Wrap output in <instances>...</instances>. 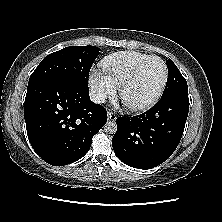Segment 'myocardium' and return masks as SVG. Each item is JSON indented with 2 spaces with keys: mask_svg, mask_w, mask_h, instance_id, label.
<instances>
[{
  "mask_svg": "<svg viewBox=\"0 0 222 222\" xmlns=\"http://www.w3.org/2000/svg\"><path fill=\"white\" fill-rule=\"evenodd\" d=\"M154 59L159 60L162 63L163 68H164V75H163L162 83H161L159 89L150 99L146 100L143 103H140V104L127 103L124 99L125 91L127 90V88L130 85H132L136 81V79L138 78V76H139L140 72L142 71V69L144 68V66L148 62H150L151 60H154ZM167 81H168V67H167L166 62L161 57L153 55V56L146 58L141 63H139L136 66V68L133 70V72L123 81V83L119 87V96L129 111L142 112V111H145V110L149 109L150 107H152L161 98V96L165 90Z\"/></svg>",
  "mask_w": 222,
  "mask_h": 222,
  "instance_id": "f54148a6",
  "label": "myocardium"
}]
</instances>
